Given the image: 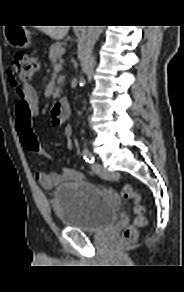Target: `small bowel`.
<instances>
[{
	"instance_id": "1",
	"label": "small bowel",
	"mask_w": 184,
	"mask_h": 292,
	"mask_svg": "<svg viewBox=\"0 0 184 292\" xmlns=\"http://www.w3.org/2000/svg\"><path fill=\"white\" fill-rule=\"evenodd\" d=\"M52 123L54 126H60L62 124L61 121L57 119H53ZM17 132L19 135V127L17 125ZM63 135L65 137V147L67 150H72V128L70 126H66L63 129ZM36 179L38 182L46 189H53L56 186L65 183V182H77L83 179V174L73 168H64L61 173L55 172H45V171H37Z\"/></svg>"
}]
</instances>
